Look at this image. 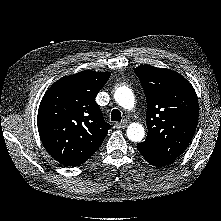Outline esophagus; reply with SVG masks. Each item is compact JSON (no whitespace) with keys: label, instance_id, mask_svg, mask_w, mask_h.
Returning <instances> with one entry per match:
<instances>
[{"label":"esophagus","instance_id":"1","mask_svg":"<svg viewBox=\"0 0 221 221\" xmlns=\"http://www.w3.org/2000/svg\"><path fill=\"white\" fill-rule=\"evenodd\" d=\"M127 124H128L127 120H123L121 122H117L115 124V127L118 128V129L119 128H125L127 126Z\"/></svg>","mask_w":221,"mask_h":221}]
</instances>
